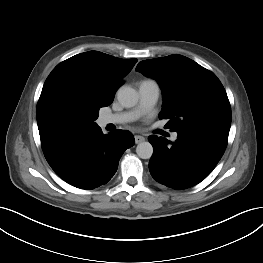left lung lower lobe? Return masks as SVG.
Wrapping results in <instances>:
<instances>
[{
  "label": "left lung lower lobe",
  "mask_w": 263,
  "mask_h": 263,
  "mask_svg": "<svg viewBox=\"0 0 263 263\" xmlns=\"http://www.w3.org/2000/svg\"><path fill=\"white\" fill-rule=\"evenodd\" d=\"M176 132L174 143L156 135L148 137L154 148L149 171L167 187L186 189L200 183L215 168L226 149L229 131L204 127Z\"/></svg>",
  "instance_id": "left-lung-lower-lobe-1"
}]
</instances>
